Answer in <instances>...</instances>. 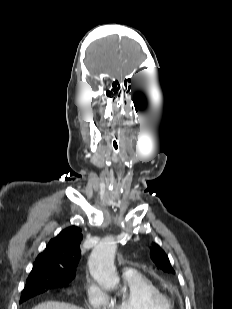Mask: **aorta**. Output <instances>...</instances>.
Returning a JSON list of instances; mask_svg holds the SVG:
<instances>
[{
    "mask_svg": "<svg viewBox=\"0 0 232 309\" xmlns=\"http://www.w3.org/2000/svg\"><path fill=\"white\" fill-rule=\"evenodd\" d=\"M116 248V242L112 237L104 238L95 246L88 260L91 276L105 288H113L119 284L114 267Z\"/></svg>",
    "mask_w": 232,
    "mask_h": 309,
    "instance_id": "aorta-1",
    "label": "aorta"
}]
</instances>
